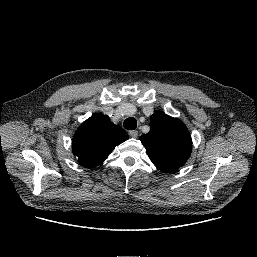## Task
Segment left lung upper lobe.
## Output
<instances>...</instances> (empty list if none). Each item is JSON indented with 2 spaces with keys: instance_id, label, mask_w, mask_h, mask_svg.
<instances>
[{
  "instance_id": "obj_1",
  "label": "left lung upper lobe",
  "mask_w": 257,
  "mask_h": 257,
  "mask_svg": "<svg viewBox=\"0 0 257 257\" xmlns=\"http://www.w3.org/2000/svg\"><path fill=\"white\" fill-rule=\"evenodd\" d=\"M150 160L163 172L179 169L190 157L191 136L184 123L163 112L151 116L150 131L140 137Z\"/></svg>"
}]
</instances>
